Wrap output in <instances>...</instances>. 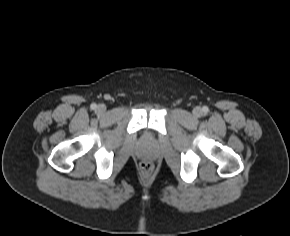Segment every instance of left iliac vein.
<instances>
[{"label": "left iliac vein", "mask_w": 290, "mask_h": 236, "mask_svg": "<svg viewBox=\"0 0 290 236\" xmlns=\"http://www.w3.org/2000/svg\"><path fill=\"white\" fill-rule=\"evenodd\" d=\"M193 114L196 116V117H201L203 112H202V109L200 107H196L194 110H193Z\"/></svg>", "instance_id": "obj_1"}]
</instances>
